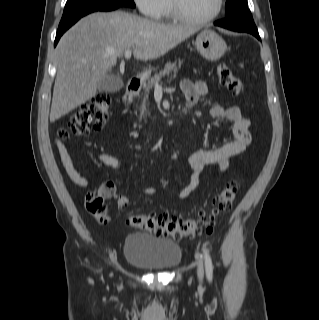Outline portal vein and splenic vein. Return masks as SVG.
Instances as JSON below:
<instances>
[{"label": "portal vein and splenic vein", "instance_id": "18ae733b", "mask_svg": "<svg viewBox=\"0 0 319 320\" xmlns=\"http://www.w3.org/2000/svg\"><path fill=\"white\" fill-rule=\"evenodd\" d=\"M131 50H126L125 52H124V57L126 58V59H129L130 57H131ZM155 89L156 90H162V86L159 84V83H156V85H155Z\"/></svg>", "mask_w": 319, "mask_h": 320}]
</instances>
